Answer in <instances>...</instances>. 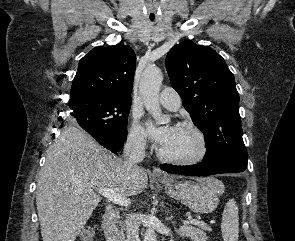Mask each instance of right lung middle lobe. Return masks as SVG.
Listing matches in <instances>:
<instances>
[{
	"mask_svg": "<svg viewBox=\"0 0 295 241\" xmlns=\"http://www.w3.org/2000/svg\"><path fill=\"white\" fill-rule=\"evenodd\" d=\"M131 101L85 99L69 104L72 121L88 133H98L114 140L127 138Z\"/></svg>",
	"mask_w": 295,
	"mask_h": 241,
	"instance_id": "dd1d6c3e",
	"label": "right lung middle lobe"
}]
</instances>
